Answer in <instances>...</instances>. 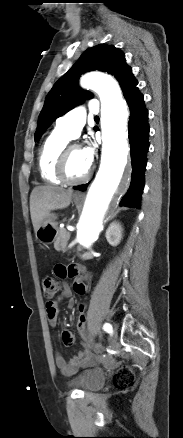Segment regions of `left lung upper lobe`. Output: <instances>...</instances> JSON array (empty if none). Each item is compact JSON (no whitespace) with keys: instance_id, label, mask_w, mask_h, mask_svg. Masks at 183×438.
<instances>
[{"instance_id":"1","label":"left lung upper lobe","mask_w":183,"mask_h":438,"mask_svg":"<svg viewBox=\"0 0 183 438\" xmlns=\"http://www.w3.org/2000/svg\"><path fill=\"white\" fill-rule=\"evenodd\" d=\"M91 70L105 71L114 75L122 90L134 78L123 51L116 49L114 45L100 44L87 49L48 93L39 115L35 141H39L46 129L58 117L92 96L77 84L80 75Z\"/></svg>"}]
</instances>
